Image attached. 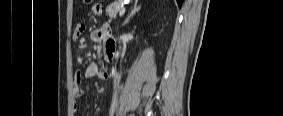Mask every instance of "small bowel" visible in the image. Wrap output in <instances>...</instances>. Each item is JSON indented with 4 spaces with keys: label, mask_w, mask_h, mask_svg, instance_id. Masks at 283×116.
Segmentation results:
<instances>
[{
    "label": "small bowel",
    "mask_w": 283,
    "mask_h": 116,
    "mask_svg": "<svg viewBox=\"0 0 283 116\" xmlns=\"http://www.w3.org/2000/svg\"><path fill=\"white\" fill-rule=\"evenodd\" d=\"M92 11L95 15H100L102 13V8L99 3L94 4ZM84 32V27H79L76 29L73 38L75 40L82 39ZM91 39L95 42H103L106 45V55L111 57L116 49V42L110 37V29L108 25L104 24L100 28H97L91 32ZM78 63L85 65L86 62L84 58L79 57ZM108 77V72L100 68L99 64L96 62H89L86 64L84 71L78 70L74 76V88L73 96L75 99H80L86 95V91L81 87V84L85 79L101 78L106 79ZM77 105H75V110Z\"/></svg>",
    "instance_id": "obj_1"
}]
</instances>
